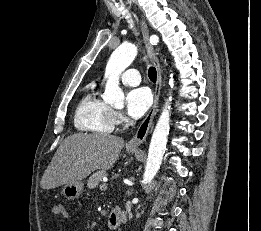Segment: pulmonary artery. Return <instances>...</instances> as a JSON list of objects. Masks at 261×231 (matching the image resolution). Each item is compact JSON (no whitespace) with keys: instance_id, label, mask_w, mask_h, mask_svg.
Segmentation results:
<instances>
[{"instance_id":"1","label":"pulmonary artery","mask_w":261,"mask_h":231,"mask_svg":"<svg viewBox=\"0 0 261 231\" xmlns=\"http://www.w3.org/2000/svg\"><path fill=\"white\" fill-rule=\"evenodd\" d=\"M141 78L137 69H127L122 75V83L129 86H136L140 83Z\"/></svg>"}]
</instances>
